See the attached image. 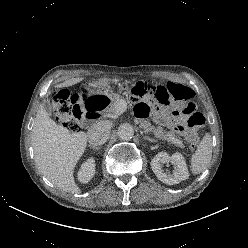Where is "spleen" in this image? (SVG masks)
Returning a JSON list of instances; mask_svg holds the SVG:
<instances>
[{
	"label": "spleen",
	"instance_id": "3e777b00",
	"mask_svg": "<svg viewBox=\"0 0 248 248\" xmlns=\"http://www.w3.org/2000/svg\"><path fill=\"white\" fill-rule=\"evenodd\" d=\"M212 138L206 133L197 147L195 153L191 156L190 168L193 174H200L209 165L212 158Z\"/></svg>",
	"mask_w": 248,
	"mask_h": 248
}]
</instances>
